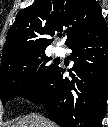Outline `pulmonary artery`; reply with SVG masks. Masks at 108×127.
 Returning a JSON list of instances; mask_svg holds the SVG:
<instances>
[{
    "instance_id": "1",
    "label": "pulmonary artery",
    "mask_w": 108,
    "mask_h": 127,
    "mask_svg": "<svg viewBox=\"0 0 108 127\" xmlns=\"http://www.w3.org/2000/svg\"><path fill=\"white\" fill-rule=\"evenodd\" d=\"M54 52H55V54H56L57 56H62V55L64 54L63 49L60 48V47L54 48Z\"/></svg>"
}]
</instances>
